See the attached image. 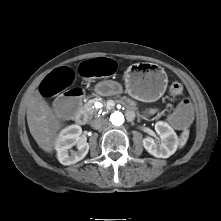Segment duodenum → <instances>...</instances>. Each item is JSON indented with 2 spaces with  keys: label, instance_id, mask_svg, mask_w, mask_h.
I'll return each mask as SVG.
<instances>
[{
  "label": "duodenum",
  "instance_id": "410a0bca",
  "mask_svg": "<svg viewBox=\"0 0 221 221\" xmlns=\"http://www.w3.org/2000/svg\"><path fill=\"white\" fill-rule=\"evenodd\" d=\"M87 119H88V117H87V114L85 111H83V110L78 111V113L76 115V122L77 123H79L81 125L86 124Z\"/></svg>",
  "mask_w": 221,
  "mask_h": 221
}]
</instances>
